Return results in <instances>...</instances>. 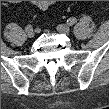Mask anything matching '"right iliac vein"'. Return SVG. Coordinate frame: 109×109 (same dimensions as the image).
Instances as JSON below:
<instances>
[{"mask_svg": "<svg viewBox=\"0 0 109 109\" xmlns=\"http://www.w3.org/2000/svg\"><path fill=\"white\" fill-rule=\"evenodd\" d=\"M26 33H27V36L29 38H33L35 36V32L33 29H30V30H26Z\"/></svg>", "mask_w": 109, "mask_h": 109, "instance_id": "1", "label": "right iliac vein"}]
</instances>
